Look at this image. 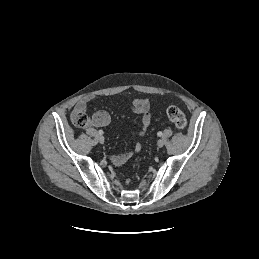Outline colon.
I'll return each mask as SVG.
<instances>
[{"instance_id":"1","label":"colon","mask_w":259,"mask_h":259,"mask_svg":"<svg viewBox=\"0 0 259 259\" xmlns=\"http://www.w3.org/2000/svg\"><path fill=\"white\" fill-rule=\"evenodd\" d=\"M166 116L179 129H183L187 125L185 114L176 106L168 107ZM72 121L77 127H85L89 123V118L85 112L75 111Z\"/></svg>"}]
</instances>
